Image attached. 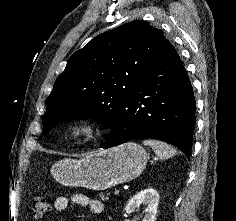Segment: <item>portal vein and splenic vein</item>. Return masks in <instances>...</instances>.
Listing matches in <instances>:
<instances>
[{"label": "portal vein and splenic vein", "instance_id": "obj_1", "mask_svg": "<svg viewBox=\"0 0 236 221\" xmlns=\"http://www.w3.org/2000/svg\"><path fill=\"white\" fill-rule=\"evenodd\" d=\"M119 192H120V190H119V189H115V191H114V194H115V195H118V194H119Z\"/></svg>", "mask_w": 236, "mask_h": 221}]
</instances>
